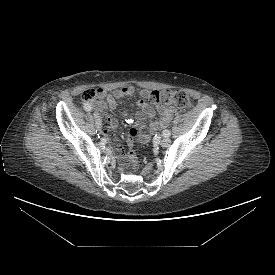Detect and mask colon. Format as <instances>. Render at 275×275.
Wrapping results in <instances>:
<instances>
[{
    "label": "colon",
    "instance_id": "5ec220e1",
    "mask_svg": "<svg viewBox=\"0 0 275 275\" xmlns=\"http://www.w3.org/2000/svg\"><path fill=\"white\" fill-rule=\"evenodd\" d=\"M82 99L87 103H92L98 100V91L95 89L85 90L82 93ZM148 100L152 104H165L175 106L183 110H188L192 106V102L188 93L178 89H163L151 91ZM137 134L138 130L136 128H131L129 130L128 137L130 142L135 139ZM130 146L131 147L127 154V159L133 166L137 167L140 161L132 147V143L130 144Z\"/></svg>",
    "mask_w": 275,
    "mask_h": 275
}]
</instances>
